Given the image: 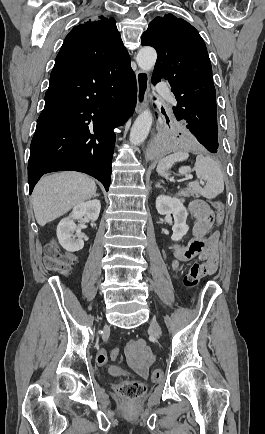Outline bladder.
Wrapping results in <instances>:
<instances>
[{"instance_id":"1","label":"bladder","mask_w":265,"mask_h":434,"mask_svg":"<svg viewBox=\"0 0 265 434\" xmlns=\"http://www.w3.org/2000/svg\"><path fill=\"white\" fill-rule=\"evenodd\" d=\"M108 372L114 376L125 374V371L118 366H110Z\"/></svg>"}]
</instances>
